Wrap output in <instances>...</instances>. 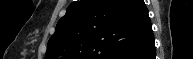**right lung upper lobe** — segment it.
<instances>
[{"mask_svg": "<svg viewBox=\"0 0 193 59\" xmlns=\"http://www.w3.org/2000/svg\"><path fill=\"white\" fill-rule=\"evenodd\" d=\"M152 33L144 0H80L69 5L45 59H118Z\"/></svg>", "mask_w": 193, "mask_h": 59, "instance_id": "1", "label": "right lung upper lobe"}]
</instances>
